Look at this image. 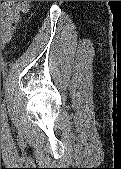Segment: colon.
I'll return each mask as SVG.
<instances>
[{"instance_id":"1","label":"colon","mask_w":121,"mask_h":169,"mask_svg":"<svg viewBox=\"0 0 121 169\" xmlns=\"http://www.w3.org/2000/svg\"><path fill=\"white\" fill-rule=\"evenodd\" d=\"M2 3L5 24L4 40L7 41L10 39L20 17L29 10L31 1H3Z\"/></svg>"}]
</instances>
